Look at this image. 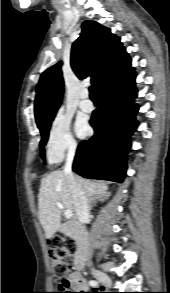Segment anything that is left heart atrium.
I'll use <instances>...</instances> for the list:
<instances>
[{"label": "left heart atrium", "instance_id": "39dd6f15", "mask_svg": "<svg viewBox=\"0 0 170 293\" xmlns=\"http://www.w3.org/2000/svg\"><path fill=\"white\" fill-rule=\"evenodd\" d=\"M76 132L80 137H84L89 133V126L83 119H79L76 123Z\"/></svg>", "mask_w": 170, "mask_h": 293}]
</instances>
